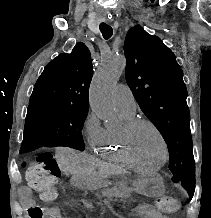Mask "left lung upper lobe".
I'll use <instances>...</instances> for the list:
<instances>
[{
	"label": "left lung upper lobe",
	"instance_id": "obj_1",
	"mask_svg": "<svg viewBox=\"0 0 211 218\" xmlns=\"http://www.w3.org/2000/svg\"><path fill=\"white\" fill-rule=\"evenodd\" d=\"M124 51L125 76L136 101L167 142L169 169L190 197L195 190V162L183 72L174 53L142 27L131 28Z\"/></svg>",
	"mask_w": 211,
	"mask_h": 218
}]
</instances>
